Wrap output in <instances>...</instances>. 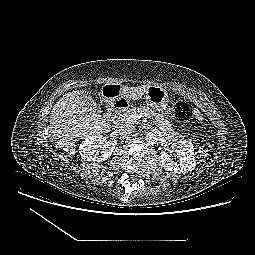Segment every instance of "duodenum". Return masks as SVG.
Returning <instances> with one entry per match:
<instances>
[{
    "label": "duodenum",
    "mask_w": 255,
    "mask_h": 255,
    "mask_svg": "<svg viewBox=\"0 0 255 255\" xmlns=\"http://www.w3.org/2000/svg\"><path fill=\"white\" fill-rule=\"evenodd\" d=\"M117 94V91H114V95ZM127 102L120 97H109L108 105H107V113L112 120L117 119L120 114L125 111L127 107Z\"/></svg>",
    "instance_id": "obj_1"
}]
</instances>
